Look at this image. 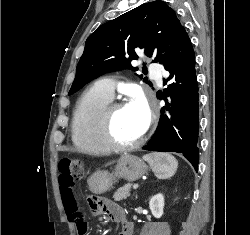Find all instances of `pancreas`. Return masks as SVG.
I'll return each instance as SVG.
<instances>
[{
    "label": "pancreas",
    "instance_id": "1",
    "mask_svg": "<svg viewBox=\"0 0 250 235\" xmlns=\"http://www.w3.org/2000/svg\"><path fill=\"white\" fill-rule=\"evenodd\" d=\"M131 184H126L119 188L113 195L115 201L126 199L130 195Z\"/></svg>",
    "mask_w": 250,
    "mask_h": 235
}]
</instances>
